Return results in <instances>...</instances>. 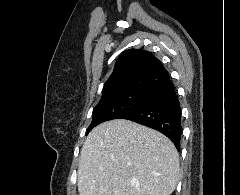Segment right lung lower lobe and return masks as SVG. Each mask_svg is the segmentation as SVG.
<instances>
[{
	"label": "right lung lower lobe",
	"mask_w": 240,
	"mask_h": 195,
	"mask_svg": "<svg viewBox=\"0 0 240 195\" xmlns=\"http://www.w3.org/2000/svg\"><path fill=\"white\" fill-rule=\"evenodd\" d=\"M118 119L131 120L167 136L180 149L181 107L172 80L169 78L150 89L143 101Z\"/></svg>",
	"instance_id": "98d812e1"
}]
</instances>
